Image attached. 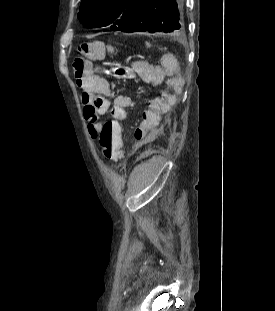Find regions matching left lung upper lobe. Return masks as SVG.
<instances>
[{
	"instance_id": "left-lung-upper-lobe-1",
	"label": "left lung upper lobe",
	"mask_w": 275,
	"mask_h": 311,
	"mask_svg": "<svg viewBox=\"0 0 275 311\" xmlns=\"http://www.w3.org/2000/svg\"><path fill=\"white\" fill-rule=\"evenodd\" d=\"M143 0H82L78 18L85 27H122Z\"/></svg>"
}]
</instances>
